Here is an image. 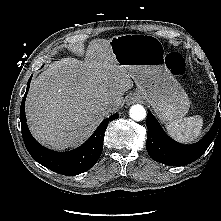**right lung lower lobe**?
I'll list each match as a JSON object with an SVG mask.
<instances>
[{"label": "right lung lower lobe", "instance_id": "right-lung-lower-lobe-1", "mask_svg": "<svg viewBox=\"0 0 221 221\" xmlns=\"http://www.w3.org/2000/svg\"><path fill=\"white\" fill-rule=\"evenodd\" d=\"M31 77L28 80L26 93L20 108L22 136L28 152L38 163L62 175L74 176L87 171L97 162L102 153L104 133L108 123L117 119L119 115L115 113L103 120L93 135L84 144L72 151L56 152L47 149L33 138L26 123L24 105Z\"/></svg>", "mask_w": 221, "mask_h": 221}]
</instances>
